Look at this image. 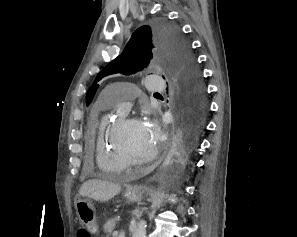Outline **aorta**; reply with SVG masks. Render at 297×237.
Segmentation results:
<instances>
[{"label":"aorta","instance_id":"762f6f07","mask_svg":"<svg viewBox=\"0 0 297 237\" xmlns=\"http://www.w3.org/2000/svg\"><path fill=\"white\" fill-rule=\"evenodd\" d=\"M132 237H146V222L141 220L135 231L133 232Z\"/></svg>","mask_w":297,"mask_h":237}]
</instances>
